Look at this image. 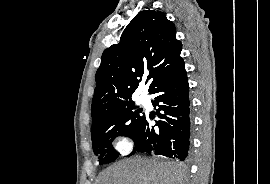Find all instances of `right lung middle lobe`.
I'll list each match as a JSON object with an SVG mask.
<instances>
[{
  "mask_svg": "<svg viewBox=\"0 0 270 184\" xmlns=\"http://www.w3.org/2000/svg\"><path fill=\"white\" fill-rule=\"evenodd\" d=\"M131 101L109 116L92 124L91 136L93 151L98 156L100 164L110 163L119 156L112 147V141L117 136L134 138L138 133L145 115Z\"/></svg>",
  "mask_w": 270,
  "mask_h": 184,
  "instance_id": "1",
  "label": "right lung middle lobe"
}]
</instances>
